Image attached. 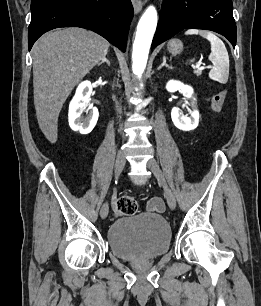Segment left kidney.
<instances>
[{
	"label": "left kidney",
	"instance_id": "5707ae66",
	"mask_svg": "<svg viewBox=\"0 0 261 306\" xmlns=\"http://www.w3.org/2000/svg\"><path fill=\"white\" fill-rule=\"evenodd\" d=\"M167 91L174 93L176 91H181L184 96L187 98H190L192 100V109L189 117L181 115L179 109L177 107H174L171 111V118L174 123V125L183 131H190L194 130L199 123V112L197 110V100L193 96L194 90L189 85H184L183 83L179 81L171 80L166 85Z\"/></svg>",
	"mask_w": 261,
	"mask_h": 306
}]
</instances>
